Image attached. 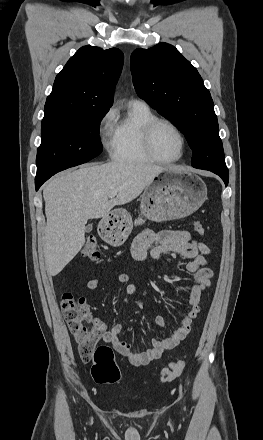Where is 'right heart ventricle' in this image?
Here are the masks:
<instances>
[{"label":"right heart ventricle","mask_w":263,"mask_h":440,"mask_svg":"<svg viewBox=\"0 0 263 440\" xmlns=\"http://www.w3.org/2000/svg\"><path fill=\"white\" fill-rule=\"evenodd\" d=\"M156 115L147 105L131 104L115 126L111 156L119 162H151L142 146V129Z\"/></svg>","instance_id":"1"}]
</instances>
